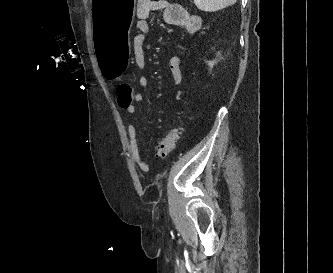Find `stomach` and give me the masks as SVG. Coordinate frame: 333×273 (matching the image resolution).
Here are the masks:
<instances>
[{"mask_svg": "<svg viewBox=\"0 0 333 273\" xmlns=\"http://www.w3.org/2000/svg\"><path fill=\"white\" fill-rule=\"evenodd\" d=\"M135 0H94L92 14L95 32L94 56L98 60V75L103 81H118V75H127L131 65L128 39L133 32Z\"/></svg>", "mask_w": 333, "mask_h": 273, "instance_id": "1", "label": "stomach"}]
</instances>
